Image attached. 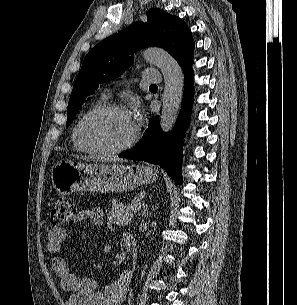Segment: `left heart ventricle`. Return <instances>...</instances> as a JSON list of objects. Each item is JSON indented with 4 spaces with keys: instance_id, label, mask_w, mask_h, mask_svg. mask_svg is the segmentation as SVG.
<instances>
[{
    "instance_id": "left-heart-ventricle-1",
    "label": "left heart ventricle",
    "mask_w": 297,
    "mask_h": 305,
    "mask_svg": "<svg viewBox=\"0 0 297 305\" xmlns=\"http://www.w3.org/2000/svg\"><path fill=\"white\" fill-rule=\"evenodd\" d=\"M135 125L129 114L107 113L88 120L84 134L88 141L97 146L114 148L129 140Z\"/></svg>"
}]
</instances>
